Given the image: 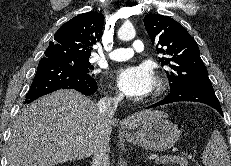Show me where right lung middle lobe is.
Wrapping results in <instances>:
<instances>
[{"mask_svg": "<svg viewBox=\"0 0 231 166\" xmlns=\"http://www.w3.org/2000/svg\"><path fill=\"white\" fill-rule=\"evenodd\" d=\"M56 61L62 62L69 64L76 68L77 70L87 73V74H92L90 69H93L94 67L90 65L89 59H77V58H70V57H58L56 58Z\"/></svg>", "mask_w": 231, "mask_h": 166, "instance_id": "1", "label": "right lung middle lobe"}]
</instances>
